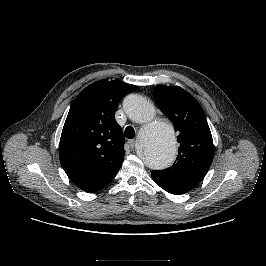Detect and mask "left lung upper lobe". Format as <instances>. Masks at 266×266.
<instances>
[{
    "mask_svg": "<svg viewBox=\"0 0 266 266\" xmlns=\"http://www.w3.org/2000/svg\"><path fill=\"white\" fill-rule=\"evenodd\" d=\"M155 95L161 110L178 131L180 147L171 167L153 172L191 190L205 177L214 156L212 135L204 111L191 94L179 87L156 85Z\"/></svg>",
    "mask_w": 266,
    "mask_h": 266,
    "instance_id": "left-lung-upper-lobe-1",
    "label": "left lung upper lobe"
}]
</instances>
